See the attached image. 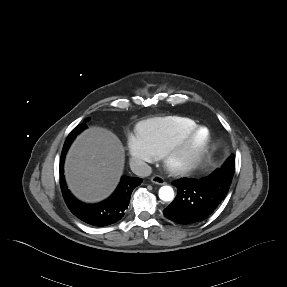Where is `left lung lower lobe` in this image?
Returning <instances> with one entry per match:
<instances>
[{"mask_svg": "<svg viewBox=\"0 0 287 287\" xmlns=\"http://www.w3.org/2000/svg\"><path fill=\"white\" fill-rule=\"evenodd\" d=\"M232 176L220 168L201 178H181L173 182L178 193L164 209V216L176 223L192 224L206 219L225 198Z\"/></svg>", "mask_w": 287, "mask_h": 287, "instance_id": "1", "label": "left lung lower lobe"}]
</instances>
